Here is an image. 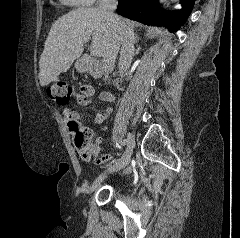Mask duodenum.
Here are the masks:
<instances>
[{
  "instance_id": "410a0bca",
  "label": "duodenum",
  "mask_w": 240,
  "mask_h": 238,
  "mask_svg": "<svg viewBox=\"0 0 240 238\" xmlns=\"http://www.w3.org/2000/svg\"><path fill=\"white\" fill-rule=\"evenodd\" d=\"M85 68L86 71L94 77L104 76V78H107V75H103L99 63L93 58L85 59Z\"/></svg>"
}]
</instances>
